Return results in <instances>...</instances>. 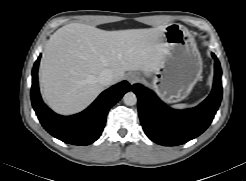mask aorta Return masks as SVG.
<instances>
[{"instance_id": "aorta-1", "label": "aorta", "mask_w": 246, "mask_h": 181, "mask_svg": "<svg viewBox=\"0 0 246 181\" xmlns=\"http://www.w3.org/2000/svg\"><path fill=\"white\" fill-rule=\"evenodd\" d=\"M123 101L127 106H133L137 103V96L133 92H127L124 97Z\"/></svg>"}]
</instances>
